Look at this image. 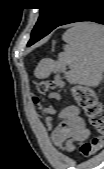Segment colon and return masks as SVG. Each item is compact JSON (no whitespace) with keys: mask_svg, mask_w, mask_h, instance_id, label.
Wrapping results in <instances>:
<instances>
[{"mask_svg":"<svg viewBox=\"0 0 104 169\" xmlns=\"http://www.w3.org/2000/svg\"><path fill=\"white\" fill-rule=\"evenodd\" d=\"M64 85L60 80H43L35 85V90L39 94H45L50 90H61ZM71 92L76 103L84 110L90 124L98 132V136L93 138L90 143H85L80 148V153L88 157L102 147V136L104 134V112L103 107L96 93L88 87L77 85L71 88ZM51 98L58 100L59 94L53 93ZM37 97L34 101L37 102Z\"/></svg>","mask_w":104,"mask_h":169,"instance_id":"1","label":"colon"}]
</instances>
